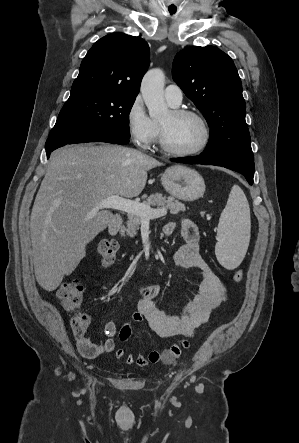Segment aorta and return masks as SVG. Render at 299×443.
<instances>
[{
	"label": "aorta",
	"mask_w": 299,
	"mask_h": 443,
	"mask_svg": "<svg viewBox=\"0 0 299 443\" xmlns=\"http://www.w3.org/2000/svg\"><path fill=\"white\" fill-rule=\"evenodd\" d=\"M165 75L161 69H151L143 77L141 93L152 119H161L169 114L164 100Z\"/></svg>",
	"instance_id": "aorta-1"
}]
</instances>
